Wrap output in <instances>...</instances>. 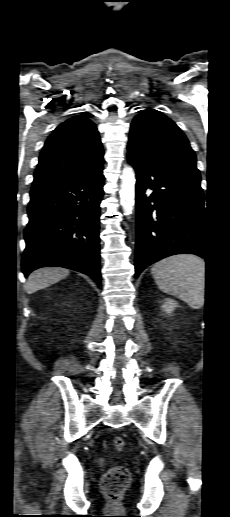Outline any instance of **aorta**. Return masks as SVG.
<instances>
[{
  "instance_id": "1",
  "label": "aorta",
  "mask_w": 230,
  "mask_h": 517,
  "mask_svg": "<svg viewBox=\"0 0 230 517\" xmlns=\"http://www.w3.org/2000/svg\"><path fill=\"white\" fill-rule=\"evenodd\" d=\"M120 201L126 216L132 214L135 204V172L132 167L126 166L121 174Z\"/></svg>"
}]
</instances>
